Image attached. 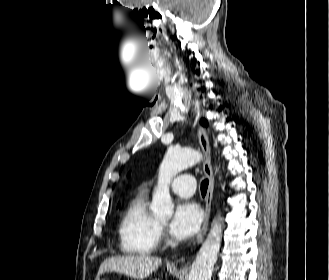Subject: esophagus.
Returning a JSON list of instances; mask_svg holds the SVG:
<instances>
[{
	"instance_id": "34e87169",
	"label": "esophagus",
	"mask_w": 329,
	"mask_h": 280,
	"mask_svg": "<svg viewBox=\"0 0 329 280\" xmlns=\"http://www.w3.org/2000/svg\"><path fill=\"white\" fill-rule=\"evenodd\" d=\"M198 138H199V143L201 145L202 151L205 156V160L203 163V170L205 175L208 178L209 185L207 189V195H206V205H205V215H204V221L201 226V229L197 235L195 244L198 245L204 238L207 228H208V222H209V217H210V208H211V201H212V196H213V188H214V176H213V171L210 163V145H209V139L208 135L205 131L204 128L201 126L198 127ZM183 260V259H181Z\"/></svg>"
}]
</instances>
